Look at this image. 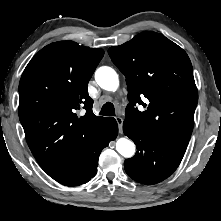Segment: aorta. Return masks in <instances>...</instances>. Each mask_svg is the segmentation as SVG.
<instances>
[{"mask_svg":"<svg viewBox=\"0 0 221 221\" xmlns=\"http://www.w3.org/2000/svg\"><path fill=\"white\" fill-rule=\"evenodd\" d=\"M95 80L98 85L107 91H116L119 86V78L114 69L103 66L97 69ZM116 150L125 158H130L135 153L134 143L127 138H120L116 142Z\"/></svg>","mask_w":221,"mask_h":221,"instance_id":"obj_1","label":"aorta"}]
</instances>
